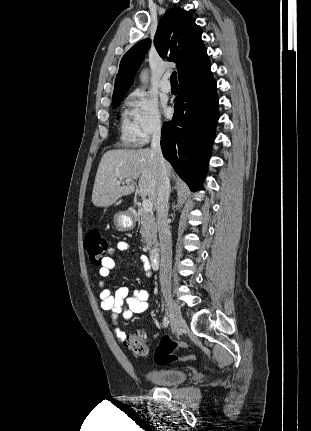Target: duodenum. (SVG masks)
Masks as SVG:
<instances>
[{
  "label": "duodenum",
  "instance_id": "duodenum-1",
  "mask_svg": "<svg viewBox=\"0 0 311 431\" xmlns=\"http://www.w3.org/2000/svg\"><path fill=\"white\" fill-rule=\"evenodd\" d=\"M131 214H135L134 209H130ZM149 259L153 267H158L160 262V249L153 247L149 252Z\"/></svg>",
  "mask_w": 311,
  "mask_h": 431
}]
</instances>
